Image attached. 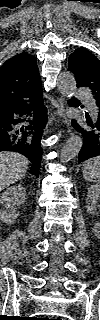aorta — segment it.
<instances>
[{
    "label": "aorta",
    "instance_id": "obj_1",
    "mask_svg": "<svg viewBox=\"0 0 100 320\" xmlns=\"http://www.w3.org/2000/svg\"><path fill=\"white\" fill-rule=\"evenodd\" d=\"M57 87L60 93L66 98H70L76 91V80L69 71L61 72L57 78ZM83 145V138L80 135H73L63 146L60 154V161L67 163L75 158Z\"/></svg>",
    "mask_w": 100,
    "mask_h": 320
}]
</instances>
